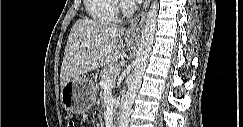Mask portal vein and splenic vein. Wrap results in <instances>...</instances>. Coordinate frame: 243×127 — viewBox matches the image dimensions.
Segmentation results:
<instances>
[{
    "instance_id": "obj_1",
    "label": "portal vein and splenic vein",
    "mask_w": 243,
    "mask_h": 127,
    "mask_svg": "<svg viewBox=\"0 0 243 127\" xmlns=\"http://www.w3.org/2000/svg\"><path fill=\"white\" fill-rule=\"evenodd\" d=\"M113 77H114V75H112L110 78H107L104 81H102L100 83L101 87L102 88L109 87L111 85V83L113 82Z\"/></svg>"
}]
</instances>
